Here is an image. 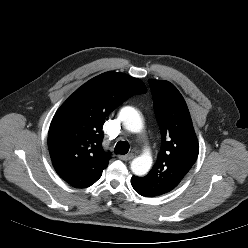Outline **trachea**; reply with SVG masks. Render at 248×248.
Listing matches in <instances>:
<instances>
[{
  "mask_svg": "<svg viewBox=\"0 0 248 248\" xmlns=\"http://www.w3.org/2000/svg\"><path fill=\"white\" fill-rule=\"evenodd\" d=\"M129 151V144L126 141H119L115 146V154L125 155Z\"/></svg>",
  "mask_w": 248,
  "mask_h": 248,
  "instance_id": "3493384b",
  "label": "trachea"
}]
</instances>
